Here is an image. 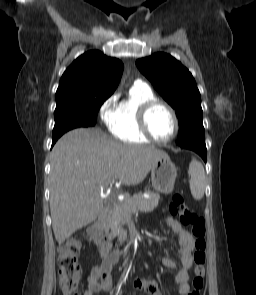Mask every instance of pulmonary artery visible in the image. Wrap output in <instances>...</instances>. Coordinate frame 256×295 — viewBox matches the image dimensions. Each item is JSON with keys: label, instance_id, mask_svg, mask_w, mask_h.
Segmentation results:
<instances>
[{"label": "pulmonary artery", "instance_id": "obj_1", "mask_svg": "<svg viewBox=\"0 0 256 295\" xmlns=\"http://www.w3.org/2000/svg\"><path fill=\"white\" fill-rule=\"evenodd\" d=\"M136 85H145V83H143L142 81L138 80L135 82Z\"/></svg>", "mask_w": 256, "mask_h": 295}]
</instances>
